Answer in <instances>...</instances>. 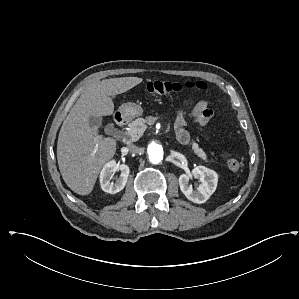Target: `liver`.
<instances>
[{"mask_svg":"<svg viewBox=\"0 0 299 299\" xmlns=\"http://www.w3.org/2000/svg\"><path fill=\"white\" fill-rule=\"evenodd\" d=\"M143 81L138 77L94 81L82 92L60 129L57 161L67 186L79 195L92 192L102 167L113 158L116 140L98 134L102 116L112 115L111 96Z\"/></svg>","mask_w":299,"mask_h":299,"instance_id":"1","label":"liver"}]
</instances>
